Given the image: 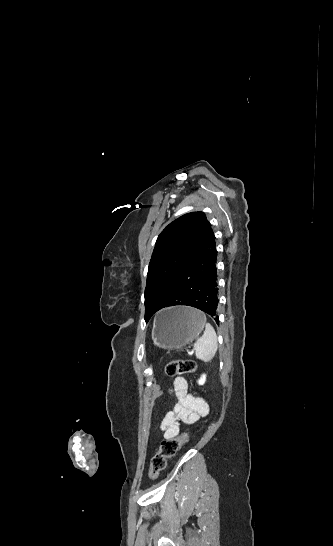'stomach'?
<instances>
[{
	"instance_id": "1",
	"label": "stomach",
	"mask_w": 333,
	"mask_h": 546,
	"mask_svg": "<svg viewBox=\"0 0 333 546\" xmlns=\"http://www.w3.org/2000/svg\"><path fill=\"white\" fill-rule=\"evenodd\" d=\"M205 324L202 313L194 308L169 307L155 316L152 340L157 347L179 349L197 338Z\"/></svg>"
}]
</instances>
